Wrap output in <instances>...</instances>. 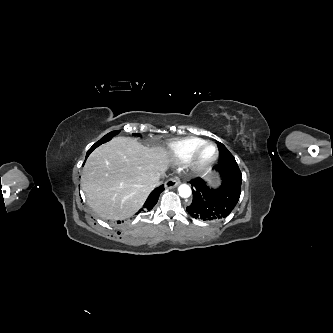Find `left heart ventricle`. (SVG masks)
<instances>
[{"label": "left heart ventricle", "mask_w": 333, "mask_h": 333, "mask_svg": "<svg viewBox=\"0 0 333 333\" xmlns=\"http://www.w3.org/2000/svg\"><path fill=\"white\" fill-rule=\"evenodd\" d=\"M214 149L212 147H208L207 149H205V151L202 154V158L204 160L210 159L214 156Z\"/></svg>", "instance_id": "obj_1"}]
</instances>
